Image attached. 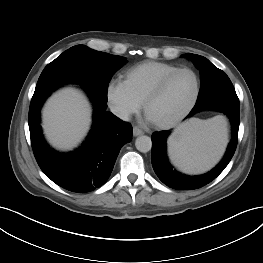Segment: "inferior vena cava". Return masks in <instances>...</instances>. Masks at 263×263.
Returning a JSON list of instances; mask_svg holds the SVG:
<instances>
[{
  "label": "inferior vena cava",
  "mask_w": 263,
  "mask_h": 263,
  "mask_svg": "<svg viewBox=\"0 0 263 263\" xmlns=\"http://www.w3.org/2000/svg\"><path fill=\"white\" fill-rule=\"evenodd\" d=\"M110 110L113 114H115L117 117H119L120 119L124 120V121H128L129 120V114L126 110L116 107V106H112L110 107Z\"/></svg>",
  "instance_id": "inferior-vena-cava-1"
}]
</instances>
